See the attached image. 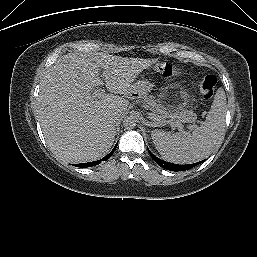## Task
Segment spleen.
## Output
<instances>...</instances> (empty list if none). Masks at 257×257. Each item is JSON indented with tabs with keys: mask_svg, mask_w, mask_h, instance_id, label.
Instances as JSON below:
<instances>
[{
	"mask_svg": "<svg viewBox=\"0 0 257 257\" xmlns=\"http://www.w3.org/2000/svg\"><path fill=\"white\" fill-rule=\"evenodd\" d=\"M226 96L219 89L214 97L206 120L192 133H175L162 130L151 132L153 143L161 157L177 164H190L210 155L225 133Z\"/></svg>",
	"mask_w": 257,
	"mask_h": 257,
	"instance_id": "obj_1",
	"label": "spleen"
}]
</instances>
